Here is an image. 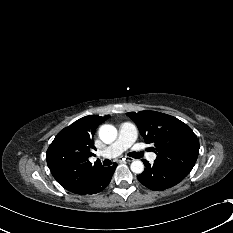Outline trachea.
<instances>
[{
	"label": "trachea",
	"instance_id": "trachea-1",
	"mask_svg": "<svg viewBox=\"0 0 233 233\" xmlns=\"http://www.w3.org/2000/svg\"><path fill=\"white\" fill-rule=\"evenodd\" d=\"M128 156L139 159L143 156V153L140 152H131L128 154ZM104 166H109L111 165V161L109 159H105L103 162Z\"/></svg>",
	"mask_w": 233,
	"mask_h": 233
}]
</instances>
